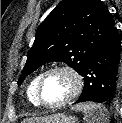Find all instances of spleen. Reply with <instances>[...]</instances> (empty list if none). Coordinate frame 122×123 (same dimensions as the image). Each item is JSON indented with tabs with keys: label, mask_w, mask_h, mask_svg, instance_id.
Returning a JSON list of instances; mask_svg holds the SVG:
<instances>
[{
	"label": "spleen",
	"mask_w": 122,
	"mask_h": 123,
	"mask_svg": "<svg viewBox=\"0 0 122 123\" xmlns=\"http://www.w3.org/2000/svg\"><path fill=\"white\" fill-rule=\"evenodd\" d=\"M75 110L82 111L86 123H108L109 114L101 104L93 102L78 104Z\"/></svg>",
	"instance_id": "3e777b00"
}]
</instances>
